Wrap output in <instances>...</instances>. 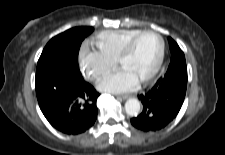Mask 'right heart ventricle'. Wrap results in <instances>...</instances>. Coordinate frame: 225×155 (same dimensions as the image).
I'll return each mask as SVG.
<instances>
[{
	"instance_id": "e07e8e85",
	"label": "right heart ventricle",
	"mask_w": 225,
	"mask_h": 155,
	"mask_svg": "<svg viewBox=\"0 0 225 155\" xmlns=\"http://www.w3.org/2000/svg\"><path fill=\"white\" fill-rule=\"evenodd\" d=\"M140 31L141 29L105 30L94 37L93 43L100 52L116 60L126 42Z\"/></svg>"
}]
</instances>
